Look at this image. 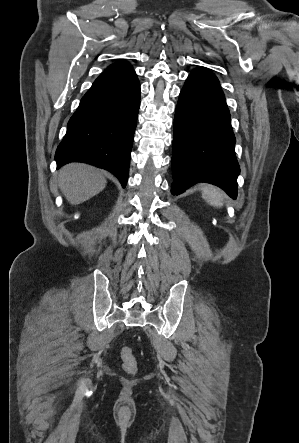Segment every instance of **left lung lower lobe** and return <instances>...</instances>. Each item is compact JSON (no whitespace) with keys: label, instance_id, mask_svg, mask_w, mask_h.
I'll use <instances>...</instances> for the list:
<instances>
[{"label":"left lung lower lobe","instance_id":"obj_1","mask_svg":"<svg viewBox=\"0 0 299 443\" xmlns=\"http://www.w3.org/2000/svg\"><path fill=\"white\" fill-rule=\"evenodd\" d=\"M234 145L230 113L217 77L206 68L195 69L175 111L172 194L206 182L236 199L240 167Z\"/></svg>","mask_w":299,"mask_h":443}]
</instances>
